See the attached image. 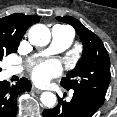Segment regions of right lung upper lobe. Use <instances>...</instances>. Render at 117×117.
<instances>
[{"instance_id":"right-lung-upper-lobe-1","label":"right lung upper lobe","mask_w":117,"mask_h":117,"mask_svg":"<svg viewBox=\"0 0 117 117\" xmlns=\"http://www.w3.org/2000/svg\"><path fill=\"white\" fill-rule=\"evenodd\" d=\"M40 16L15 13L0 18V45L17 47L26 30L39 22Z\"/></svg>"}]
</instances>
